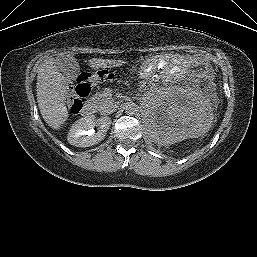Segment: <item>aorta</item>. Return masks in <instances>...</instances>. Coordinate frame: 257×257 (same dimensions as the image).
<instances>
[{
  "label": "aorta",
  "mask_w": 257,
  "mask_h": 257,
  "mask_svg": "<svg viewBox=\"0 0 257 257\" xmlns=\"http://www.w3.org/2000/svg\"><path fill=\"white\" fill-rule=\"evenodd\" d=\"M137 112H138V106L135 103L130 102L126 104L125 113L127 115H135Z\"/></svg>",
  "instance_id": "obj_1"
}]
</instances>
